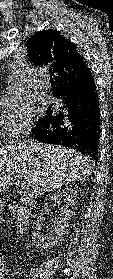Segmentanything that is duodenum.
I'll return each mask as SVG.
<instances>
[{
	"mask_svg": "<svg viewBox=\"0 0 113 279\" xmlns=\"http://www.w3.org/2000/svg\"><path fill=\"white\" fill-rule=\"evenodd\" d=\"M16 227L15 233L22 236L28 227L30 220V209L26 206H20L16 209Z\"/></svg>",
	"mask_w": 113,
	"mask_h": 279,
	"instance_id": "duodenum-1",
	"label": "duodenum"
}]
</instances>
